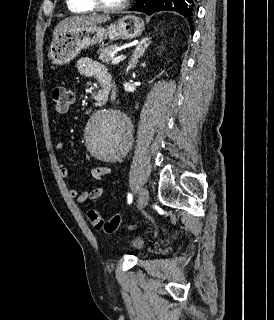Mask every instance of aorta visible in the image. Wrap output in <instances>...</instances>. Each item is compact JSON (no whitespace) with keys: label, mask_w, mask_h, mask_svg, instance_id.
Listing matches in <instances>:
<instances>
[{"label":"aorta","mask_w":274,"mask_h":320,"mask_svg":"<svg viewBox=\"0 0 274 320\" xmlns=\"http://www.w3.org/2000/svg\"><path fill=\"white\" fill-rule=\"evenodd\" d=\"M131 140V121L123 112L114 108L96 111L85 129L87 150L103 161L118 160L129 149Z\"/></svg>","instance_id":"aorta-1"}]
</instances>
